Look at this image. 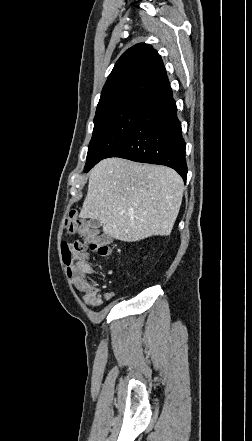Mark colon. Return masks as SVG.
<instances>
[{
	"label": "colon",
	"mask_w": 252,
	"mask_h": 441,
	"mask_svg": "<svg viewBox=\"0 0 252 441\" xmlns=\"http://www.w3.org/2000/svg\"><path fill=\"white\" fill-rule=\"evenodd\" d=\"M67 227L71 233L80 235L83 241L62 242L61 252L63 261L68 275L73 281H85L89 267L87 250L89 249L101 256H107L111 251V239L99 229L76 218L74 214H70L68 217Z\"/></svg>",
	"instance_id": "colon-1"
}]
</instances>
